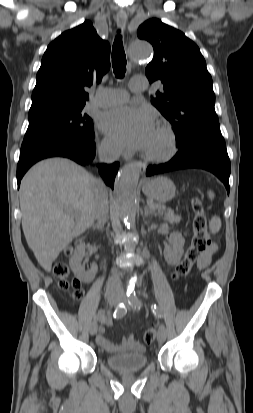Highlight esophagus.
<instances>
[{
    "label": "esophagus",
    "instance_id": "1",
    "mask_svg": "<svg viewBox=\"0 0 253 413\" xmlns=\"http://www.w3.org/2000/svg\"><path fill=\"white\" fill-rule=\"evenodd\" d=\"M116 21H117L118 27L124 31L126 28V24H127V14L124 12H119L117 14ZM138 164H139L140 173H143L146 168V164L142 162H139Z\"/></svg>",
    "mask_w": 253,
    "mask_h": 413
}]
</instances>
